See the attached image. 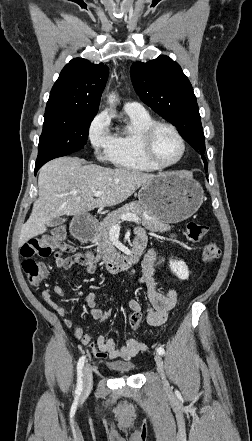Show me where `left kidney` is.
<instances>
[{
	"label": "left kidney",
	"instance_id": "obj_1",
	"mask_svg": "<svg viewBox=\"0 0 252 441\" xmlns=\"http://www.w3.org/2000/svg\"><path fill=\"white\" fill-rule=\"evenodd\" d=\"M171 271L180 279L186 280L189 277V270L184 261L170 260Z\"/></svg>",
	"mask_w": 252,
	"mask_h": 441
}]
</instances>
